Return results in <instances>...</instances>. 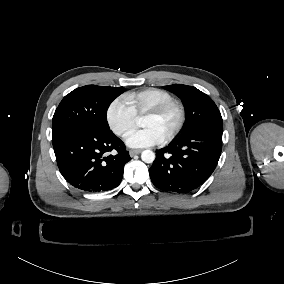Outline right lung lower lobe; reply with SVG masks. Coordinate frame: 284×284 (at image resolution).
Segmentation results:
<instances>
[{
  "instance_id": "right-lung-lower-lobe-1",
  "label": "right lung lower lobe",
  "mask_w": 284,
  "mask_h": 284,
  "mask_svg": "<svg viewBox=\"0 0 284 284\" xmlns=\"http://www.w3.org/2000/svg\"><path fill=\"white\" fill-rule=\"evenodd\" d=\"M52 143L63 177L87 193L117 187L124 165L131 160L124 143L111 130L70 129L52 138Z\"/></svg>"
}]
</instances>
